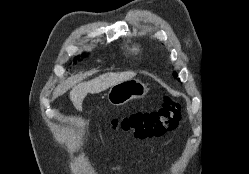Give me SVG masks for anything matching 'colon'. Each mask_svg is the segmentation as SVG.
<instances>
[{"instance_id":"5ec220e1","label":"colon","mask_w":249,"mask_h":174,"mask_svg":"<svg viewBox=\"0 0 249 174\" xmlns=\"http://www.w3.org/2000/svg\"><path fill=\"white\" fill-rule=\"evenodd\" d=\"M180 106L165 98L161 108L154 111L139 112L114 119L112 129H121L132 133L136 138L160 136L174 129L180 119Z\"/></svg>"}]
</instances>
